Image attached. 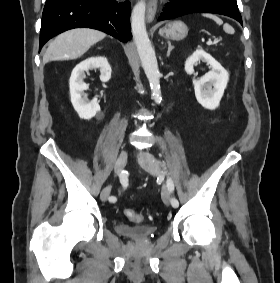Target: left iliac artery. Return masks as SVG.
I'll return each instance as SVG.
<instances>
[{
	"label": "left iliac artery",
	"instance_id": "1",
	"mask_svg": "<svg viewBox=\"0 0 280 283\" xmlns=\"http://www.w3.org/2000/svg\"><path fill=\"white\" fill-rule=\"evenodd\" d=\"M162 166L164 167V169H166L164 162L162 163ZM165 173H167V171H165ZM167 188H168V191L170 193H173V191H174V183H173L171 177H169V176L167 178ZM171 204H172L173 207L176 208V207H178L179 202H178V200L175 197H172L171 198Z\"/></svg>",
	"mask_w": 280,
	"mask_h": 283
}]
</instances>
